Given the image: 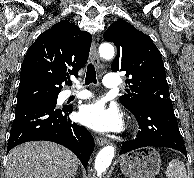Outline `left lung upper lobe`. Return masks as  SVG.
Returning a JSON list of instances; mask_svg holds the SVG:
<instances>
[{
  "label": "left lung upper lobe",
  "mask_w": 194,
  "mask_h": 178,
  "mask_svg": "<svg viewBox=\"0 0 194 178\" xmlns=\"http://www.w3.org/2000/svg\"><path fill=\"white\" fill-rule=\"evenodd\" d=\"M103 38L117 47L112 71H124L131 84L128 94L120 97L123 106L133 112L138 101L170 99L162 58L149 36L126 21L118 20Z\"/></svg>",
  "instance_id": "obj_1"
}]
</instances>
